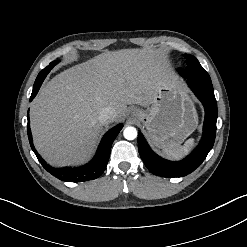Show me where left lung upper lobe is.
I'll list each match as a JSON object with an SVG mask.
<instances>
[{
    "instance_id": "obj_1",
    "label": "left lung upper lobe",
    "mask_w": 247,
    "mask_h": 247,
    "mask_svg": "<svg viewBox=\"0 0 247 247\" xmlns=\"http://www.w3.org/2000/svg\"><path fill=\"white\" fill-rule=\"evenodd\" d=\"M185 57L187 69L182 73L184 78L211 82L209 74L203 69L196 57L188 54H185Z\"/></svg>"
}]
</instances>
